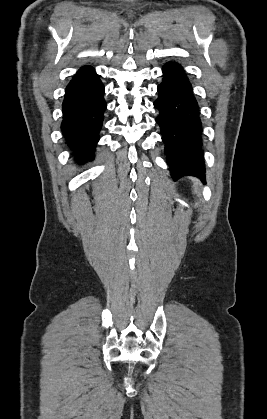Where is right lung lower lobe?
Here are the masks:
<instances>
[{
    "label": "right lung lower lobe",
    "instance_id": "1",
    "mask_svg": "<svg viewBox=\"0 0 267 419\" xmlns=\"http://www.w3.org/2000/svg\"><path fill=\"white\" fill-rule=\"evenodd\" d=\"M104 85L94 68L82 67L66 87L62 104V134L79 164L93 159L103 125Z\"/></svg>",
    "mask_w": 267,
    "mask_h": 419
}]
</instances>
